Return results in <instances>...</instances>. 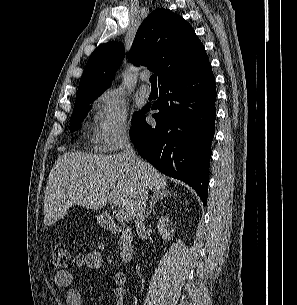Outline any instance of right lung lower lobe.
Here are the masks:
<instances>
[{
	"mask_svg": "<svg viewBox=\"0 0 297 305\" xmlns=\"http://www.w3.org/2000/svg\"><path fill=\"white\" fill-rule=\"evenodd\" d=\"M216 88L211 65L159 86V99L146 105L130 137L139 154L167 176L190 185L207 204L209 160L214 137ZM155 124L143 117L147 111Z\"/></svg>",
	"mask_w": 297,
	"mask_h": 305,
	"instance_id": "right-lung-lower-lobe-1",
	"label": "right lung lower lobe"
}]
</instances>
